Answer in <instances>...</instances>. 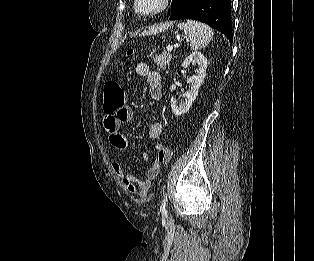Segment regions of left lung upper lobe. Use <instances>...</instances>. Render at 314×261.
Wrapping results in <instances>:
<instances>
[{"instance_id": "1", "label": "left lung upper lobe", "mask_w": 314, "mask_h": 261, "mask_svg": "<svg viewBox=\"0 0 314 261\" xmlns=\"http://www.w3.org/2000/svg\"><path fill=\"white\" fill-rule=\"evenodd\" d=\"M183 1L184 0H172V13H171V16L174 15L178 11V9L182 5Z\"/></svg>"}]
</instances>
